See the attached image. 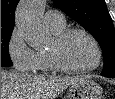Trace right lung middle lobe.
<instances>
[{
	"label": "right lung middle lobe",
	"instance_id": "1",
	"mask_svg": "<svg viewBox=\"0 0 115 99\" xmlns=\"http://www.w3.org/2000/svg\"><path fill=\"white\" fill-rule=\"evenodd\" d=\"M12 31L13 29H1V67L13 65L9 55V41Z\"/></svg>",
	"mask_w": 115,
	"mask_h": 99
}]
</instances>
